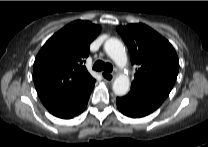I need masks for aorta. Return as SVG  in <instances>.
<instances>
[{"label": "aorta", "instance_id": "762f6f07", "mask_svg": "<svg viewBox=\"0 0 208 147\" xmlns=\"http://www.w3.org/2000/svg\"><path fill=\"white\" fill-rule=\"evenodd\" d=\"M104 50L118 67L123 68L127 64L125 47L118 39H108L104 44ZM129 88L130 80L128 76L125 74L118 75L113 83L114 93L118 96H123L129 91Z\"/></svg>", "mask_w": 208, "mask_h": 147}]
</instances>
